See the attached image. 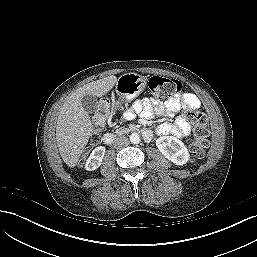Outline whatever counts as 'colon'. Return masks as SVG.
<instances>
[{
	"instance_id": "1",
	"label": "colon",
	"mask_w": 257,
	"mask_h": 257,
	"mask_svg": "<svg viewBox=\"0 0 257 257\" xmlns=\"http://www.w3.org/2000/svg\"><path fill=\"white\" fill-rule=\"evenodd\" d=\"M180 83L173 78L162 76H152L149 80L151 93L158 99L164 100L179 89ZM113 101L109 98H103L99 101L96 113L93 117V125L96 130L101 129L109 117ZM186 119L193 126L194 139L191 143L190 150L193 159L204 156L205 150L209 145V126L208 119L204 113L199 110H188Z\"/></svg>"
}]
</instances>
